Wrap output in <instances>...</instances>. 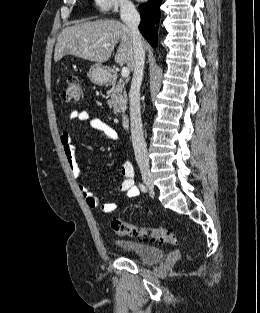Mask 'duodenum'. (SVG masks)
<instances>
[{
  "instance_id": "1",
  "label": "duodenum",
  "mask_w": 260,
  "mask_h": 313,
  "mask_svg": "<svg viewBox=\"0 0 260 313\" xmlns=\"http://www.w3.org/2000/svg\"><path fill=\"white\" fill-rule=\"evenodd\" d=\"M122 126L127 128L129 126V116L127 114H123L121 117Z\"/></svg>"
}]
</instances>
